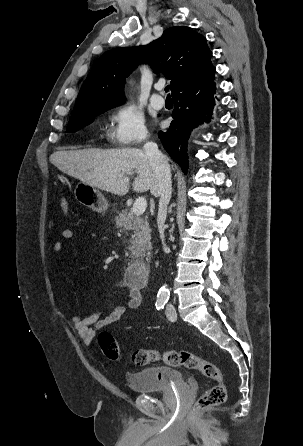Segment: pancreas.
<instances>
[{"mask_svg":"<svg viewBox=\"0 0 303 446\" xmlns=\"http://www.w3.org/2000/svg\"><path fill=\"white\" fill-rule=\"evenodd\" d=\"M115 221L118 228L133 231L128 247L129 252H127L129 258L143 257L145 251L151 249V229L148 218L136 216L132 211L125 209L115 218Z\"/></svg>","mask_w":303,"mask_h":446,"instance_id":"obj_1","label":"pancreas"}]
</instances>
